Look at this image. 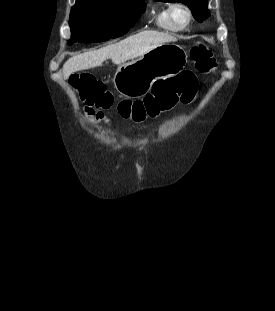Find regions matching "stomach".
<instances>
[{
  "instance_id": "obj_1",
  "label": "stomach",
  "mask_w": 275,
  "mask_h": 311,
  "mask_svg": "<svg viewBox=\"0 0 275 311\" xmlns=\"http://www.w3.org/2000/svg\"><path fill=\"white\" fill-rule=\"evenodd\" d=\"M187 57L181 46L162 44L136 60L119 65L113 79L114 87L125 97H142L156 79L178 75L185 68Z\"/></svg>"
}]
</instances>
